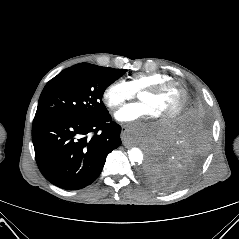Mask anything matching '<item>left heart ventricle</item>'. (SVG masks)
I'll list each match as a JSON object with an SVG mask.
<instances>
[{"label":"left heart ventricle","instance_id":"obj_1","mask_svg":"<svg viewBox=\"0 0 239 239\" xmlns=\"http://www.w3.org/2000/svg\"><path fill=\"white\" fill-rule=\"evenodd\" d=\"M139 99L151 108L155 118L163 119L178 107L180 94L175 88H169L158 95L141 94Z\"/></svg>","mask_w":239,"mask_h":239}]
</instances>
